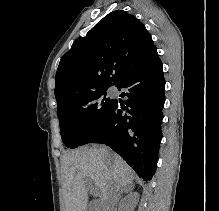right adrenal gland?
Listing matches in <instances>:
<instances>
[{"instance_id": "right-adrenal-gland-1", "label": "right adrenal gland", "mask_w": 219, "mask_h": 211, "mask_svg": "<svg viewBox=\"0 0 219 211\" xmlns=\"http://www.w3.org/2000/svg\"><path fill=\"white\" fill-rule=\"evenodd\" d=\"M121 193H128V195H130V193H135V191H133V187H124Z\"/></svg>"}]
</instances>
